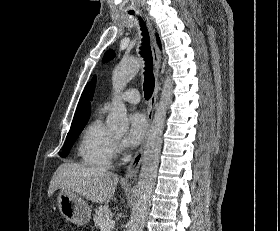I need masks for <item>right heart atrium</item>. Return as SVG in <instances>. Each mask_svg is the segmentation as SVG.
I'll use <instances>...</instances> for the list:
<instances>
[{"label": "right heart atrium", "instance_id": "obj_1", "mask_svg": "<svg viewBox=\"0 0 280 231\" xmlns=\"http://www.w3.org/2000/svg\"><path fill=\"white\" fill-rule=\"evenodd\" d=\"M113 153H118L119 152V147H118V144L117 142H113Z\"/></svg>", "mask_w": 280, "mask_h": 231}]
</instances>
